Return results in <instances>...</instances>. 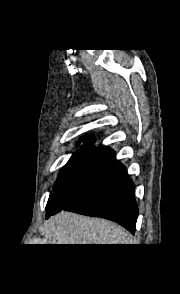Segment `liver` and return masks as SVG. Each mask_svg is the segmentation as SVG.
Here are the masks:
<instances>
[{
	"mask_svg": "<svg viewBox=\"0 0 180 294\" xmlns=\"http://www.w3.org/2000/svg\"><path fill=\"white\" fill-rule=\"evenodd\" d=\"M48 244H131L132 235L119 225L71 212H60L44 224Z\"/></svg>",
	"mask_w": 180,
	"mask_h": 294,
	"instance_id": "6515ba94",
	"label": "liver"
}]
</instances>
